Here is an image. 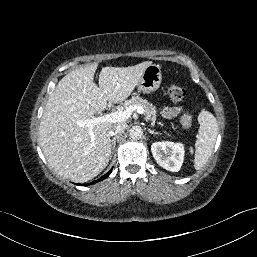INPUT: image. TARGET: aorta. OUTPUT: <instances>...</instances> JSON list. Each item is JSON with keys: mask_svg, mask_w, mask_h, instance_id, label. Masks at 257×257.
Here are the masks:
<instances>
[{"mask_svg": "<svg viewBox=\"0 0 257 257\" xmlns=\"http://www.w3.org/2000/svg\"><path fill=\"white\" fill-rule=\"evenodd\" d=\"M129 136L132 139H139L143 136V129L140 126H133L129 130Z\"/></svg>", "mask_w": 257, "mask_h": 257, "instance_id": "aorta-1", "label": "aorta"}]
</instances>
